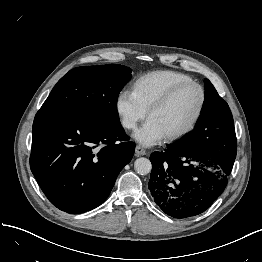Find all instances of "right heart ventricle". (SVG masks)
<instances>
[{"mask_svg":"<svg viewBox=\"0 0 262 262\" xmlns=\"http://www.w3.org/2000/svg\"><path fill=\"white\" fill-rule=\"evenodd\" d=\"M190 80L191 78L188 75L180 72L170 70L154 71L136 80L133 85V93L140 104L148 111L172 87Z\"/></svg>","mask_w":262,"mask_h":262,"instance_id":"right-heart-ventricle-1","label":"right heart ventricle"}]
</instances>
